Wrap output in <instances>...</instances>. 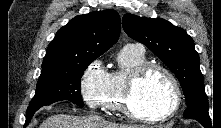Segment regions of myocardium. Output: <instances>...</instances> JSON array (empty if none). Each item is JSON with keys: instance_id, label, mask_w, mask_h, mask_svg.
Returning a JSON list of instances; mask_svg holds the SVG:
<instances>
[{"instance_id": "myocardium-1", "label": "myocardium", "mask_w": 221, "mask_h": 128, "mask_svg": "<svg viewBox=\"0 0 221 128\" xmlns=\"http://www.w3.org/2000/svg\"><path fill=\"white\" fill-rule=\"evenodd\" d=\"M152 71H161L168 78L171 91H172V102L168 108L157 115H147L138 112L133 105V98L139 83ZM181 105V91L178 81L174 74L165 66L146 62L136 69H134L126 80L124 92H123V111L132 120L149 122V123H160L164 122L172 117L179 109Z\"/></svg>"}]
</instances>
